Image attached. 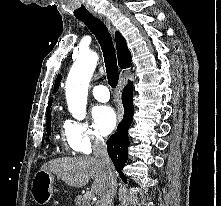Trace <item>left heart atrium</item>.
I'll return each mask as SVG.
<instances>
[{
	"instance_id": "1",
	"label": "left heart atrium",
	"mask_w": 221,
	"mask_h": 206,
	"mask_svg": "<svg viewBox=\"0 0 221 206\" xmlns=\"http://www.w3.org/2000/svg\"><path fill=\"white\" fill-rule=\"evenodd\" d=\"M94 124L102 135L111 133L117 124V116L110 106H97L93 110Z\"/></svg>"
}]
</instances>
